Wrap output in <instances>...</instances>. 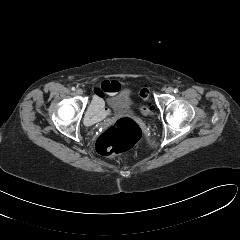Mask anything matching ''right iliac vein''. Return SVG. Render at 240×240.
I'll return each instance as SVG.
<instances>
[{
    "mask_svg": "<svg viewBox=\"0 0 240 240\" xmlns=\"http://www.w3.org/2000/svg\"><path fill=\"white\" fill-rule=\"evenodd\" d=\"M76 94H77V95H82V94H83V90L80 89V88L77 89V90H76Z\"/></svg>",
    "mask_w": 240,
    "mask_h": 240,
    "instance_id": "right-iliac-vein-1",
    "label": "right iliac vein"
}]
</instances>
